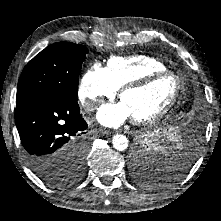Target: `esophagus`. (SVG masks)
Segmentation results:
<instances>
[{"label":"esophagus","instance_id":"obj_1","mask_svg":"<svg viewBox=\"0 0 221 221\" xmlns=\"http://www.w3.org/2000/svg\"><path fill=\"white\" fill-rule=\"evenodd\" d=\"M100 132H101L103 135H109V134H111V131L106 130V129H100Z\"/></svg>","mask_w":221,"mask_h":221}]
</instances>
